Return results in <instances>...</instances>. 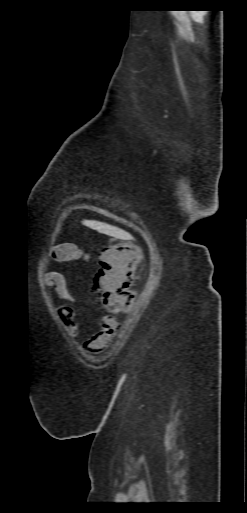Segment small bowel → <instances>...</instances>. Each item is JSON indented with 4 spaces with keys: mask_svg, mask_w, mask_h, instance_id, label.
I'll return each instance as SVG.
<instances>
[{
    "mask_svg": "<svg viewBox=\"0 0 247 513\" xmlns=\"http://www.w3.org/2000/svg\"><path fill=\"white\" fill-rule=\"evenodd\" d=\"M74 245L67 243L52 250V258L55 261L66 262L72 260ZM43 285L55 289L58 294L69 302L75 298L68 290L67 281L61 272L48 271L43 276ZM59 314L63 321L64 328L70 335H76L78 326L75 322L76 309L72 305H64L59 308ZM119 327L118 320L113 316H107L102 320L100 331L86 342V349L92 354H98L108 349L114 340Z\"/></svg>",
    "mask_w": 247,
    "mask_h": 513,
    "instance_id": "obj_1",
    "label": "small bowel"
}]
</instances>
